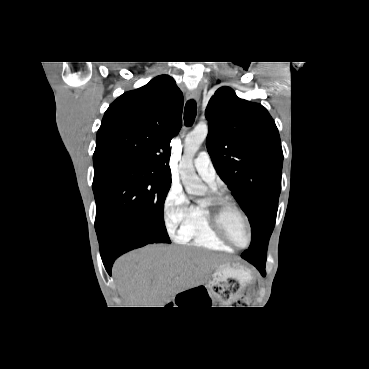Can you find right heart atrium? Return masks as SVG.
<instances>
[{
  "label": "right heart atrium",
  "instance_id": "right-heart-atrium-1",
  "mask_svg": "<svg viewBox=\"0 0 369 369\" xmlns=\"http://www.w3.org/2000/svg\"><path fill=\"white\" fill-rule=\"evenodd\" d=\"M191 206L183 188L179 184H172L163 203L164 222L170 235L178 238L190 215Z\"/></svg>",
  "mask_w": 369,
  "mask_h": 369
}]
</instances>
